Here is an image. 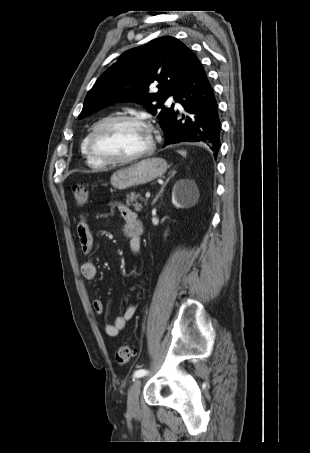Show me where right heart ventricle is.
<instances>
[{"label": "right heart ventricle", "instance_id": "1", "mask_svg": "<svg viewBox=\"0 0 310 453\" xmlns=\"http://www.w3.org/2000/svg\"><path fill=\"white\" fill-rule=\"evenodd\" d=\"M95 125L96 124H94L92 126V128L83 137V139L81 141V144H80V150H81V153H82V155L84 156V158L86 160V164L90 168H102V167H105L107 164H105L103 162H100L99 160L95 159L92 156V154L90 153L89 148H88V138H89L90 132L92 131V129L94 128Z\"/></svg>", "mask_w": 310, "mask_h": 453}]
</instances>
